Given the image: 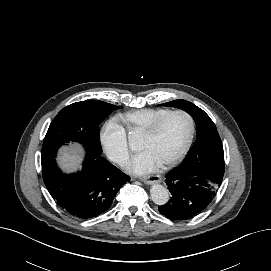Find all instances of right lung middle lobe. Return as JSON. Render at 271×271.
Masks as SVG:
<instances>
[{
	"mask_svg": "<svg viewBox=\"0 0 271 271\" xmlns=\"http://www.w3.org/2000/svg\"><path fill=\"white\" fill-rule=\"evenodd\" d=\"M112 104L86 100L63 108L54 118L44 138L41 157H55L58 148L70 141H77L85 149L102 153L99 124L112 111Z\"/></svg>",
	"mask_w": 271,
	"mask_h": 271,
	"instance_id": "dd1d6c3e",
	"label": "right lung middle lobe"
}]
</instances>
